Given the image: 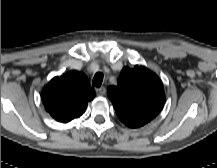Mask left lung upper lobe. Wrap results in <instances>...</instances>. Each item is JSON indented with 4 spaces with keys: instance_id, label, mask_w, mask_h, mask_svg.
<instances>
[{
    "instance_id": "obj_1",
    "label": "left lung upper lobe",
    "mask_w": 217,
    "mask_h": 168,
    "mask_svg": "<svg viewBox=\"0 0 217 168\" xmlns=\"http://www.w3.org/2000/svg\"><path fill=\"white\" fill-rule=\"evenodd\" d=\"M118 118L127 127L139 128L162 110L165 94L159 77L144 66L124 67L116 86L107 90Z\"/></svg>"
}]
</instances>
